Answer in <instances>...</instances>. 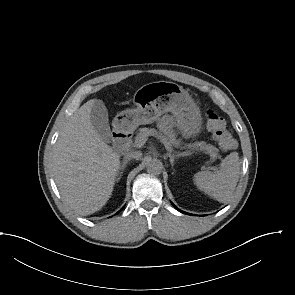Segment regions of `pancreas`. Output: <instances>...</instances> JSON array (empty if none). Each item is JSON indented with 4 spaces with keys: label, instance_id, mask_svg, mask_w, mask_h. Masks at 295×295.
Instances as JSON below:
<instances>
[{
    "label": "pancreas",
    "instance_id": "1",
    "mask_svg": "<svg viewBox=\"0 0 295 295\" xmlns=\"http://www.w3.org/2000/svg\"><path fill=\"white\" fill-rule=\"evenodd\" d=\"M154 133H158L156 129L152 128H140L139 132L137 133L136 137H135V144L137 143V141H139L140 138L145 137L147 138L148 136H152V134ZM160 136H163L164 139L170 144V146H174L176 148L180 147V143L178 140H176L175 138V134L172 131H164L163 133H159ZM188 148L191 149H200L203 151H206L207 153H209L213 158H216L218 155L219 150L214 147L211 144H207L206 142L202 141V142H195L193 144H189L187 145ZM186 153H189L186 152Z\"/></svg>",
    "mask_w": 295,
    "mask_h": 295
}]
</instances>
